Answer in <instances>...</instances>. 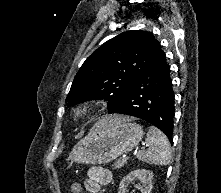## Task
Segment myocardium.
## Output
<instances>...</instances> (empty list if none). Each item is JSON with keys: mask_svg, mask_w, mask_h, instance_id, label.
Returning <instances> with one entry per match:
<instances>
[{"mask_svg": "<svg viewBox=\"0 0 221 193\" xmlns=\"http://www.w3.org/2000/svg\"><path fill=\"white\" fill-rule=\"evenodd\" d=\"M98 104L93 101H83L76 105L74 117L77 121H84L92 116L97 110Z\"/></svg>", "mask_w": 221, "mask_h": 193, "instance_id": "obj_1", "label": "myocardium"}]
</instances>
